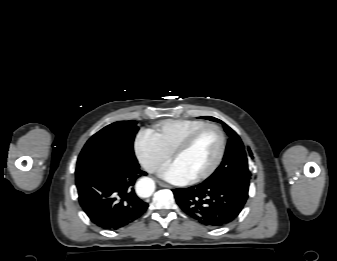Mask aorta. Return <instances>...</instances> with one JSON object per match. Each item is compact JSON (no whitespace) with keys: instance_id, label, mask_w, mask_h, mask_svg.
I'll list each match as a JSON object with an SVG mask.
<instances>
[{"instance_id":"1","label":"aorta","mask_w":337,"mask_h":261,"mask_svg":"<svg viewBox=\"0 0 337 261\" xmlns=\"http://www.w3.org/2000/svg\"><path fill=\"white\" fill-rule=\"evenodd\" d=\"M155 190V183L151 178L143 177L136 183V192L140 197H150Z\"/></svg>"}]
</instances>
